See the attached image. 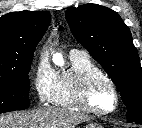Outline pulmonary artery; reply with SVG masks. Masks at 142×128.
<instances>
[{
    "instance_id": "e3ab8cb5",
    "label": "pulmonary artery",
    "mask_w": 142,
    "mask_h": 128,
    "mask_svg": "<svg viewBox=\"0 0 142 128\" xmlns=\"http://www.w3.org/2000/svg\"><path fill=\"white\" fill-rule=\"evenodd\" d=\"M70 55H87V53L84 50L72 49Z\"/></svg>"
}]
</instances>
